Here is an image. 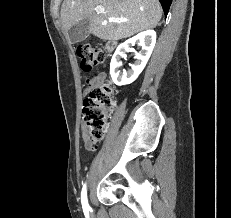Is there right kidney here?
Segmentation results:
<instances>
[{"instance_id":"1","label":"right kidney","mask_w":231,"mask_h":218,"mask_svg":"<svg viewBox=\"0 0 231 218\" xmlns=\"http://www.w3.org/2000/svg\"><path fill=\"white\" fill-rule=\"evenodd\" d=\"M155 43L156 32L154 30H147L135 35L119 45L110 63V75L113 82L116 85L121 86L135 81L147 64ZM136 44L141 45L142 49L139 53H136L134 57L136 61L133 64H130L131 69L128 71L123 70L122 72L120 70L121 58L125 56V52L132 51L131 47Z\"/></svg>"}]
</instances>
